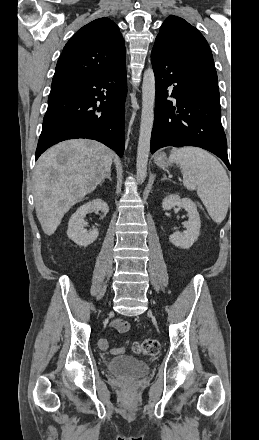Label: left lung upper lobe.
<instances>
[{
    "instance_id": "5c2ea615",
    "label": "left lung upper lobe",
    "mask_w": 259,
    "mask_h": 440,
    "mask_svg": "<svg viewBox=\"0 0 259 440\" xmlns=\"http://www.w3.org/2000/svg\"><path fill=\"white\" fill-rule=\"evenodd\" d=\"M153 48L161 49L177 60L204 63L215 68L210 47L203 35L174 15L162 24Z\"/></svg>"
}]
</instances>
